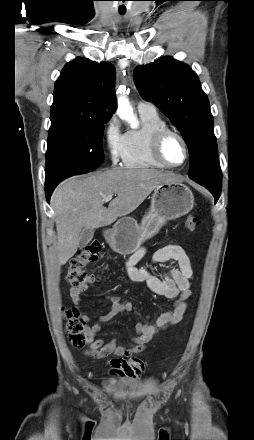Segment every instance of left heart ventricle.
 Listing matches in <instances>:
<instances>
[{
  "label": "left heart ventricle",
  "mask_w": 254,
  "mask_h": 440,
  "mask_svg": "<svg viewBox=\"0 0 254 440\" xmlns=\"http://www.w3.org/2000/svg\"><path fill=\"white\" fill-rule=\"evenodd\" d=\"M163 155L172 164H180L184 160V148L175 136H169L163 145Z\"/></svg>",
  "instance_id": "obj_1"
}]
</instances>
